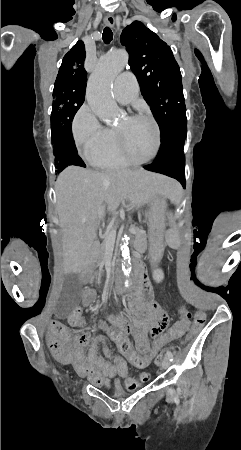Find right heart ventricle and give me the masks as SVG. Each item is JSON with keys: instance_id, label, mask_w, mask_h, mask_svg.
Returning a JSON list of instances; mask_svg holds the SVG:
<instances>
[{"instance_id": "1", "label": "right heart ventricle", "mask_w": 241, "mask_h": 450, "mask_svg": "<svg viewBox=\"0 0 241 450\" xmlns=\"http://www.w3.org/2000/svg\"><path fill=\"white\" fill-rule=\"evenodd\" d=\"M100 126V125H99ZM103 131L106 129L104 127ZM119 145L116 142V136H111V138L106 142L104 146V150L97 155H86L85 160L88 164L98 168H111V167H123L129 165L130 162L126 161L124 153H122V149L119 148ZM129 153V149H127ZM131 160H134V157H130Z\"/></svg>"}]
</instances>
